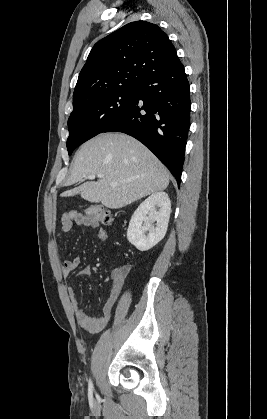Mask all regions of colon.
<instances>
[{"instance_id": "colon-1", "label": "colon", "mask_w": 267, "mask_h": 419, "mask_svg": "<svg viewBox=\"0 0 267 419\" xmlns=\"http://www.w3.org/2000/svg\"><path fill=\"white\" fill-rule=\"evenodd\" d=\"M81 214L104 225L111 224L114 221L113 213L108 209L98 205H91L86 207Z\"/></svg>"}]
</instances>
